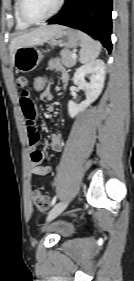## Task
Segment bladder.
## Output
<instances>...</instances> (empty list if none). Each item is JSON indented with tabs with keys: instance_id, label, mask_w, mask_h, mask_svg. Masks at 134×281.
Segmentation results:
<instances>
[{
	"instance_id": "31cf9c89",
	"label": "bladder",
	"mask_w": 134,
	"mask_h": 281,
	"mask_svg": "<svg viewBox=\"0 0 134 281\" xmlns=\"http://www.w3.org/2000/svg\"><path fill=\"white\" fill-rule=\"evenodd\" d=\"M41 230L65 236L72 231V227L70 224L65 222H56L50 225H41Z\"/></svg>"
}]
</instances>
